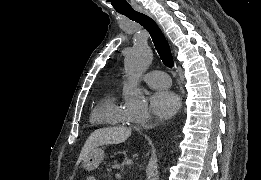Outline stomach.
I'll return each instance as SVG.
<instances>
[{
    "instance_id": "stomach-1",
    "label": "stomach",
    "mask_w": 261,
    "mask_h": 180,
    "mask_svg": "<svg viewBox=\"0 0 261 180\" xmlns=\"http://www.w3.org/2000/svg\"><path fill=\"white\" fill-rule=\"evenodd\" d=\"M104 159V151L101 148L92 149L83 159V167L87 171L96 169Z\"/></svg>"
}]
</instances>
